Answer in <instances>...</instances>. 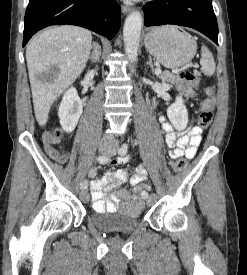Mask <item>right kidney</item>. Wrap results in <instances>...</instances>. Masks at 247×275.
Here are the masks:
<instances>
[{
  "label": "right kidney",
  "mask_w": 247,
  "mask_h": 275,
  "mask_svg": "<svg viewBox=\"0 0 247 275\" xmlns=\"http://www.w3.org/2000/svg\"><path fill=\"white\" fill-rule=\"evenodd\" d=\"M83 112V103L74 87L68 89L59 106L58 116L64 131L72 132Z\"/></svg>",
  "instance_id": "1"
}]
</instances>
